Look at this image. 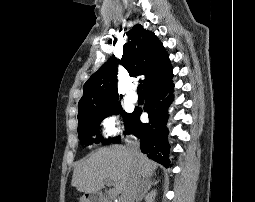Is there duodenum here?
<instances>
[{
    "label": "duodenum",
    "instance_id": "duodenum-1",
    "mask_svg": "<svg viewBox=\"0 0 255 202\" xmlns=\"http://www.w3.org/2000/svg\"><path fill=\"white\" fill-rule=\"evenodd\" d=\"M86 202H102L101 197L96 193H89L86 198Z\"/></svg>",
    "mask_w": 255,
    "mask_h": 202
}]
</instances>
